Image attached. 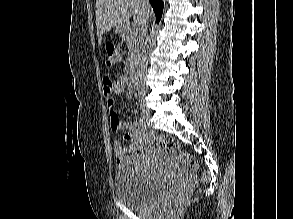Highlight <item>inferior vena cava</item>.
<instances>
[{
	"label": "inferior vena cava",
	"instance_id": "inferior-vena-cava-1",
	"mask_svg": "<svg viewBox=\"0 0 293 219\" xmlns=\"http://www.w3.org/2000/svg\"><path fill=\"white\" fill-rule=\"evenodd\" d=\"M145 5L150 7L148 0H145ZM148 69V60H147V30L145 29L142 35V42L140 46V59L139 65L137 68V77L142 78Z\"/></svg>",
	"mask_w": 293,
	"mask_h": 219
}]
</instances>
